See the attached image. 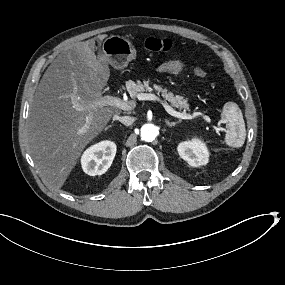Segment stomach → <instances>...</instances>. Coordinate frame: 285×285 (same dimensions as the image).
I'll use <instances>...</instances> for the list:
<instances>
[{
    "label": "stomach",
    "instance_id": "0dacf381",
    "mask_svg": "<svg viewBox=\"0 0 285 285\" xmlns=\"http://www.w3.org/2000/svg\"><path fill=\"white\" fill-rule=\"evenodd\" d=\"M104 56L116 68H123L136 59L135 46L125 37L111 35L102 44Z\"/></svg>",
    "mask_w": 285,
    "mask_h": 285
}]
</instances>
